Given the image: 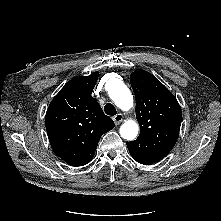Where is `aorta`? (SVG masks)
<instances>
[{"label": "aorta", "instance_id": "aorta-1", "mask_svg": "<svg viewBox=\"0 0 221 221\" xmlns=\"http://www.w3.org/2000/svg\"><path fill=\"white\" fill-rule=\"evenodd\" d=\"M110 98L123 111H128L133 107V97L129 88L119 79H111L106 84ZM139 131L138 124L133 120L124 122L120 127V135L126 140H134Z\"/></svg>", "mask_w": 221, "mask_h": 221}]
</instances>
